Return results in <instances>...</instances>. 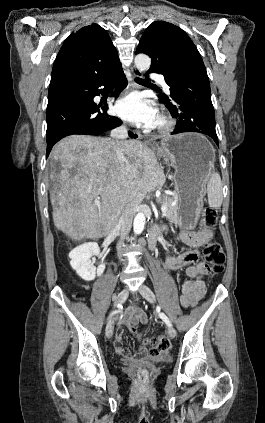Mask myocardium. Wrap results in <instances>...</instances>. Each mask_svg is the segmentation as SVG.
Segmentation results:
<instances>
[{
  "mask_svg": "<svg viewBox=\"0 0 265 423\" xmlns=\"http://www.w3.org/2000/svg\"><path fill=\"white\" fill-rule=\"evenodd\" d=\"M159 124L153 126L151 129L159 134H167L171 132L175 126V121L166 112L161 111L158 114Z\"/></svg>",
  "mask_w": 265,
  "mask_h": 423,
  "instance_id": "myocardium-1",
  "label": "myocardium"
}]
</instances>
